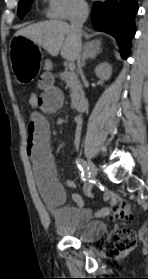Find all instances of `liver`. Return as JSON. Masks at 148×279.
<instances>
[{
  "label": "liver",
  "mask_w": 148,
  "mask_h": 279,
  "mask_svg": "<svg viewBox=\"0 0 148 279\" xmlns=\"http://www.w3.org/2000/svg\"><path fill=\"white\" fill-rule=\"evenodd\" d=\"M16 36H24L43 47L52 56H61L68 61L76 60V40L68 23L50 20L29 25L16 32ZM85 37L89 36L85 33ZM91 44V43H90Z\"/></svg>",
  "instance_id": "obj_1"
}]
</instances>
